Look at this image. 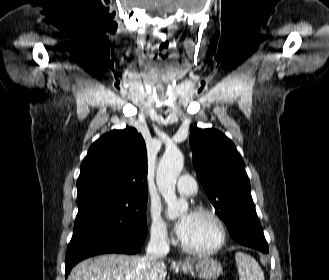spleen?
<instances>
[{"instance_id":"spleen-1","label":"spleen","mask_w":329,"mask_h":280,"mask_svg":"<svg viewBox=\"0 0 329 280\" xmlns=\"http://www.w3.org/2000/svg\"><path fill=\"white\" fill-rule=\"evenodd\" d=\"M237 268L239 272V280H264V273L258 262L242 252L235 254Z\"/></svg>"}]
</instances>
